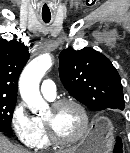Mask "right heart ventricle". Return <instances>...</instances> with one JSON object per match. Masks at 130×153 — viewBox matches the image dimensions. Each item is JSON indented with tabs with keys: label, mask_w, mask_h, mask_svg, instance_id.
Wrapping results in <instances>:
<instances>
[{
	"label": "right heart ventricle",
	"mask_w": 130,
	"mask_h": 153,
	"mask_svg": "<svg viewBox=\"0 0 130 153\" xmlns=\"http://www.w3.org/2000/svg\"><path fill=\"white\" fill-rule=\"evenodd\" d=\"M33 124L36 134L34 147H36L37 149H44L48 147L51 143V140L48 136L43 118L40 116H34Z\"/></svg>",
	"instance_id": "1"
}]
</instances>
